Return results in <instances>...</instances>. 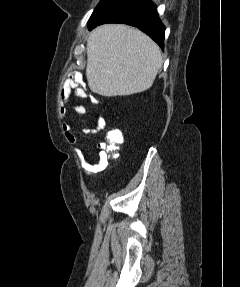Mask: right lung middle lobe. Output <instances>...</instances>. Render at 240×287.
<instances>
[{
	"mask_svg": "<svg viewBox=\"0 0 240 287\" xmlns=\"http://www.w3.org/2000/svg\"><path fill=\"white\" fill-rule=\"evenodd\" d=\"M111 0H101L100 3L97 5L95 10L93 11L89 22L90 24L96 19V17L101 13V11L105 8V6L110 2ZM89 24V25H90Z\"/></svg>",
	"mask_w": 240,
	"mask_h": 287,
	"instance_id": "obj_1",
	"label": "right lung middle lobe"
}]
</instances>
